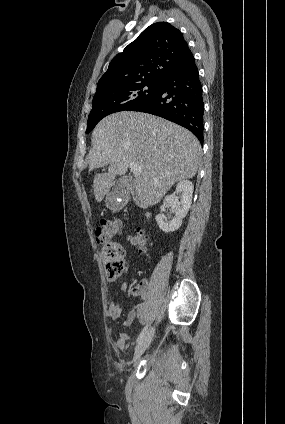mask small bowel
<instances>
[{
  "instance_id": "1",
  "label": "small bowel",
  "mask_w": 285,
  "mask_h": 424,
  "mask_svg": "<svg viewBox=\"0 0 285 424\" xmlns=\"http://www.w3.org/2000/svg\"><path fill=\"white\" fill-rule=\"evenodd\" d=\"M148 282L146 279H142L135 287L131 289V295L134 297L142 298L143 301L134 305L127 314V317L124 321L125 325L132 324L135 320H138L140 323H143L145 320V315L147 312V303L145 302V294L147 290ZM119 289L123 292L128 290L127 282L123 281L119 285ZM123 313L122 306L112 301L107 310V319L109 321L108 333L112 334V323L115 322ZM129 333L126 331L120 332L119 336L114 339L111 343L112 349L115 352L123 351L126 348V342L129 339Z\"/></svg>"
}]
</instances>
